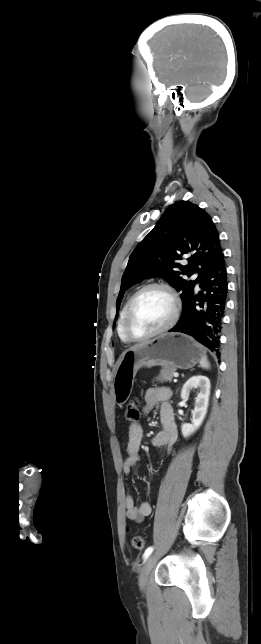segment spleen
<instances>
[{
  "mask_svg": "<svg viewBox=\"0 0 261 644\" xmlns=\"http://www.w3.org/2000/svg\"><path fill=\"white\" fill-rule=\"evenodd\" d=\"M200 366H201L202 368H204V369H209V368H210V364H209V362H208V360H207V357H206V356H204V357L200 360Z\"/></svg>",
  "mask_w": 261,
  "mask_h": 644,
  "instance_id": "3e777b00",
  "label": "spleen"
}]
</instances>
